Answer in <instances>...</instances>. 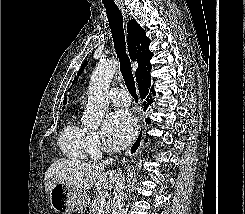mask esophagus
Listing matches in <instances>:
<instances>
[{
	"label": "esophagus",
	"mask_w": 245,
	"mask_h": 214,
	"mask_svg": "<svg viewBox=\"0 0 245 214\" xmlns=\"http://www.w3.org/2000/svg\"><path fill=\"white\" fill-rule=\"evenodd\" d=\"M118 7L121 10L124 18L126 19L127 18V9L125 8V6L123 4H119ZM144 137H145V129H144L143 123H141L138 127L137 132H136L135 139L133 140V142L131 143V145L129 146V148L126 150V152L124 154L123 160H125V158H131L137 154V152L141 148Z\"/></svg>",
	"instance_id": "1"
}]
</instances>
